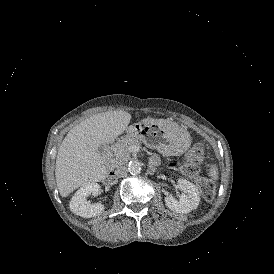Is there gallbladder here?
<instances>
[{
  "mask_svg": "<svg viewBox=\"0 0 274 274\" xmlns=\"http://www.w3.org/2000/svg\"><path fill=\"white\" fill-rule=\"evenodd\" d=\"M98 150H99V152H100V153H102V152H103V150H104L103 145H100Z\"/></svg>",
  "mask_w": 274,
  "mask_h": 274,
  "instance_id": "obj_1",
  "label": "gallbladder"
}]
</instances>
